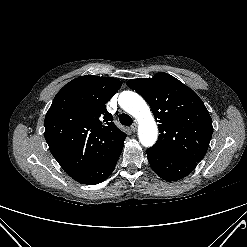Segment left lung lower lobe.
Masks as SVG:
<instances>
[{"label":"left lung lower lobe","instance_id":"1","mask_svg":"<svg viewBox=\"0 0 247 247\" xmlns=\"http://www.w3.org/2000/svg\"><path fill=\"white\" fill-rule=\"evenodd\" d=\"M146 152L152 169L167 181L180 180L189 175L197 166V162L171 156L154 147L148 148Z\"/></svg>","mask_w":247,"mask_h":247}]
</instances>
